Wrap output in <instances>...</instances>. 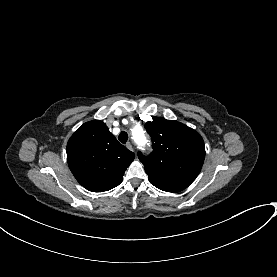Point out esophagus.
I'll return each instance as SVG.
<instances>
[{
  "instance_id": "1",
  "label": "esophagus",
  "mask_w": 277,
  "mask_h": 277,
  "mask_svg": "<svg viewBox=\"0 0 277 277\" xmlns=\"http://www.w3.org/2000/svg\"><path fill=\"white\" fill-rule=\"evenodd\" d=\"M127 148H129L130 150H133V147H132V145H131V142H128V143H127Z\"/></svg>"
}]
</instances>
